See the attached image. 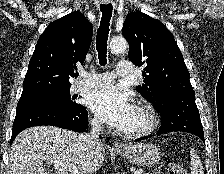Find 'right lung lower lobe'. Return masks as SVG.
Masks as SVG:
<instances>
[{"label": "right lung lower lobe", "mask_w": 224, "mask_h": 174, "mask_svg": "<svg viewBox=\"0 0 224 174\" xmlns=\"http://www.w3.org/2000/svg\"><path fill=\"white\" fill-rule=\"evenodd\" d=\"M41 125H52L75 132H85L88 127V113L80 104L66 108L44 98L19 100L10 144L22 130Z\"/></svg>", "instance_id": "1"}]
</instances>
